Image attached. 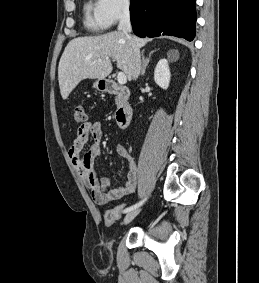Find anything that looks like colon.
Wrapping results in <instances>:
<instances>
[{
	"label": "colon",
	"mask_w": 259,
	"mask_h": 283,
	"mask_svg": "<svg viewBox=\"0 0 259 283\" xmlns=\"http://www.w3.org/2000/svg\"><path fill=\"white\" fill-rule=\"evenodd\" d=\"M74 121L77 123H84L86 121V115L82 106L74 107ZM124 210V205H119L114 209L108 210L105 214L106 224H113L121 216V214L124 213Z\"/></svg>",
	"instance_id": "5ec220e1"
}]
</instances>
